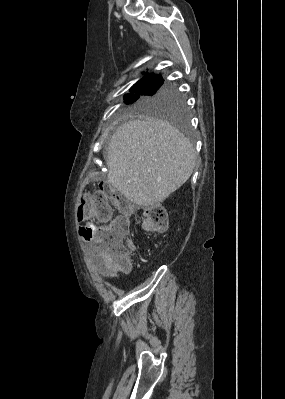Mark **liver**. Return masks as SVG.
I'll return each instance as SVG.
<instances>
[{"label": "liver", "mask_w": 285, "mask_h": 399, "mask_svg": "<svg viewBox=\"0 0 285 399\" xmlns=\"http://www.w3.org/2000/svg\"><path fill=\"white\" fill-rule=\"evenodd\" d=\"M108 182L139 206L163 202L191 176L193 144L166 121L130 120L111 136Z\"/></svg>", "instance_id": "obj_1"}]
</instances>
